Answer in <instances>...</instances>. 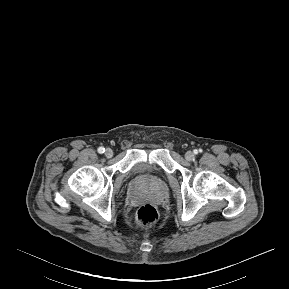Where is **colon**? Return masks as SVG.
Listing matches in <instances>:
<instances>
[{"instance_id": "5ec220e1", "label": "colon", "mask_w": 289, "mask_h": 289, "mask_svg": "<svg viewBox=\"0 0 289 289\" xmlns=\"http://www.w3.org/2000/svg\"><path fill=\"white\" fill-rule=\"evenodd\" d=\"M136 218L140 226L148 227L156 222L158 213L153 205L144 204L138 209Z\"/></svg>"}]
</instances>
